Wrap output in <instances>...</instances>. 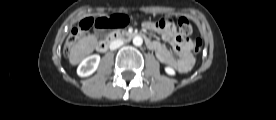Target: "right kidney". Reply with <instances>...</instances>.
I'll list each match as a JSON object with an SVG mask.
<instances>
[{
  "label": "right kidney",
  "instance_id": "1",
  "mask_svg": "<svg viewBox=\"0 0 276 120\" xmlns=\"http://www.w3.org/2000/svg\"><path fill=\"white\" fill-rule=\"evenodd\" d=\"M100 56L98 54H94L86 57L78 66L77 74L81 77H87L93 74L99 65Z\"/></svg>",
  "mask_w": 276,
  "mask_h": 120
}]
</instances>
